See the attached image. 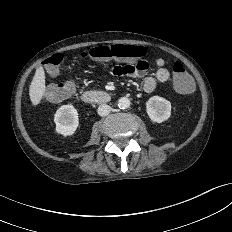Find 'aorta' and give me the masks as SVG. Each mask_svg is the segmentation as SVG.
<instances>
[{"label": "aorta", "mask_w": 232, "mask_h": 232, "mask_svg": "<svg viewBox=\"0 0 232 232\" xmlns=\"http://www.w3.org/2000/svg\"><path fill=\"white\" fill-rule=\"evenodd\" d=\"M118 107L120 109H127L130 107V99L128 97H121L118 100Z\"/></svg>", "instance_id": "762f6f07"}]
</instances>
